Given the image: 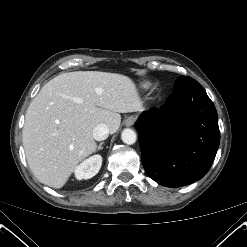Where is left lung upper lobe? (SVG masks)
<instances>
[{
	"label": "left lung upper lobe",
	"mask_w": 247,
	"mask_h": 247,
	"mask_svg": "<svg viewBox=\"0 0 247 247\" xmlns=\"http://www.w3.org/2000/svg\"><path fill=\"white\" fill-rule=\"evenodd\" d=\"M189 79H192V78H190V77H188V76H181V77H179V78L176 80V82H182V81L189 80Z\"/></svg>",
	"instance_id": "5c2ea615"
}]
</instances>
